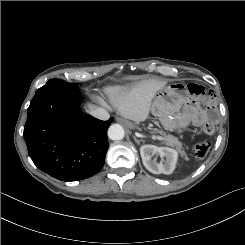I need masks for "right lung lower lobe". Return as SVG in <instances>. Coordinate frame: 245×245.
<instances>
[{
    "mask_svg": "<svg viewBox=\"0 0 245 245\" xmlns=\"http://www.w3.org/2000/svg\"><path fill=\"white\" fill-rule=\"evenodd\" d=\"M77 86L57 84L36 91L27 110L24 138L34 164L62 181H78L99 172L109 147L101 121L79 109Z\"/></svg>",
    "mask_w": 245,
    "mask_h": 245,
    "instance_id": "1",
    "label": "right lung lower lobe"
}]
</instances>
